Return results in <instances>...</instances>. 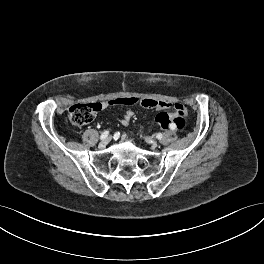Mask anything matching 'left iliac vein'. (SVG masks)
<instances>
[{
    "label": "left iliac vein",
    "mask_w": 264,
    "mask_h": 264,
    "mask_svg": "<svg viewBox=\"0 0 264 264\" xmlns=\"http://www.w3.org/2000/svg\"><path fill=\"white\" fill-rule=\"evenodd\" d=\"M146 139H147V141H148L149 143H151V144H154V143H155V140H154L153 138L148 137V138H146Z\"/></svg>",
    "instance_id": "1"
}]
</instances>
